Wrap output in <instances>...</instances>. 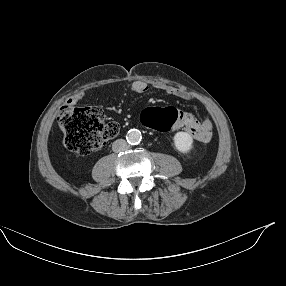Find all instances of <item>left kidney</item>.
<instances>
[{
    "mask_svg": "<svg viewBox=\"0 0 286 286\" xmlns=\"http://www.w3.org/2000/svg\"><path fill=\"white\" fill-rule=\"evenodd\" d=\"M174 146L181 153H188L193 148V138L186 132H178L174 135Z\"/></svg>",
    "mask_w": 286,
    "mask_h": 286,
    "instance_id": "5707ae66",
    "label": "left kidney"
}]
</instances>
